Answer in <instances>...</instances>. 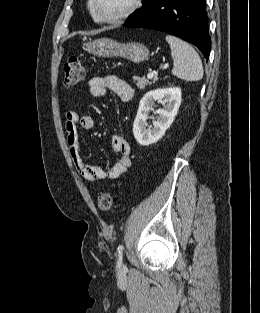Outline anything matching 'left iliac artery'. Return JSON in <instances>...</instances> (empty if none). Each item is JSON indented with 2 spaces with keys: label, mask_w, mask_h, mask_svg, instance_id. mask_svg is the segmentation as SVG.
I'll list each match as a JSON object with an SVG mask.
<instances>
[{
  "label": "left iliac artery",
  "mask_w": 260,
  "mask_h": 313,
  "mask_svg": "<svg viewBox=\"0 0 260 313\" xmlns=\"http://www.w3.org/2000/svg\"><path fill=\"white\" fill-rule=\"evenodd\" d=\"M117 253H118V260L122 261V256H123V245H119L117 248Z\"/></svg>",
  "instance_id": "left-iliac-artery-1"
}]
</instances>
